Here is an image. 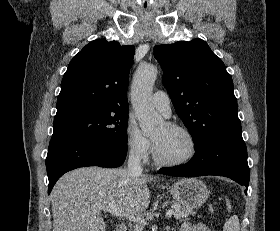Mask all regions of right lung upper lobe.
<instances>
[{
  "mask_svg": "<svg viewBox=\"0 0 280 231\" xmlns=\"http://www.w3.org/2000/svg\"><path fill=\"white\" fill-rule=\"evenodd\" d=\"M135 48L95 40L68 65L54 121L103 113L128 112L127 84Z\"/></svg>",
  "mask_w": 280,
  "mask_h": 231,
  "instance_id": "obj_1",
  "label": "right lung upper lobe"
}]
</instances>
